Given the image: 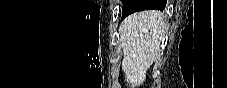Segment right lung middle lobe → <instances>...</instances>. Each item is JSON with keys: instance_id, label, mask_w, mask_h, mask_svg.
I'll return each mask as SVG.
<instances>
[{"instance_id": "dd1d6c3e", "label": "right lung middle lobe", "mask_w": 227, "mask_h": 88, "mask_svg": "<svg viewBox=\"0 0 227 88\" xmlns=\"http://www.w3.org/2000/svg\"><path fill=\"white\" fill-rule=\"evenodd\" d=\"M132 0H122L123 2V10L129 5V3L131 2Z\"/></svg>"}]
</instances>
